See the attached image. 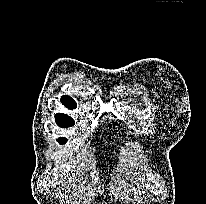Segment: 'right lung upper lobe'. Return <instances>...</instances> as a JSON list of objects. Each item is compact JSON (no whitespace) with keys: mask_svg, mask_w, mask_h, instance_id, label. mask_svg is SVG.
I'll return each instance as SVG.
<instances>
[{"mask_svg":"<svg viewBox=\"0 0 206 204\" xmlns=\"http://www.w3.org/2000/svg\"><path fill=\"white\" fill-rule=\"evenodd\" d=\"M61 102L63 103V105H65L66 107L70 108V109H74L77 107L76 102L70 97V96H62L61 98ZM60 114V113H58ZM61 115H65V114H61Z\"/></svg>","mask_w":206,"mask_h":204,"instance_id":"1","label":"right lung upper lobe"}]
</instances>
